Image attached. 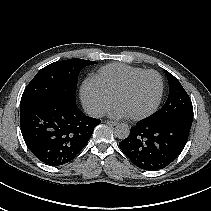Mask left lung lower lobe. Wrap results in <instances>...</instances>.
<instances>
[{"label":"left lung lower lobe","mask_w":211,"mask_h":211,"mask_svg":"<svg viewBox=\"0 0 211 211\" xmlns=\"http://www.w3.org/2000/svg\"><path fill=\"white\" fill-rule=\"evenodd\" d=\"M191 126L178 121H140L119 143L137 167L155 171L172 163L184 149Z\"/></svg>","instance_id":"1"}]
</instances>
